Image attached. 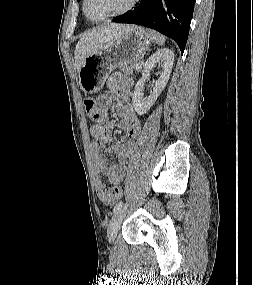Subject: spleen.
<instances>
[{
  "instance_id": "spleen-1",
  "label": "spleen",
  "mask_w": 253,
  "mask_h": 285,
  "mask_svg": "<svg viewBox=\"0 0 253 285\" xmlns=\"http://www.w3.org/2000/svg\"><path fill=\"white\" fill-rule=\"evenodd\" d=\"M147 32L150 34L156 44L163 45L165 43V37L162 34L151 29H147Z\"/></svg>"
}]
</instances>
